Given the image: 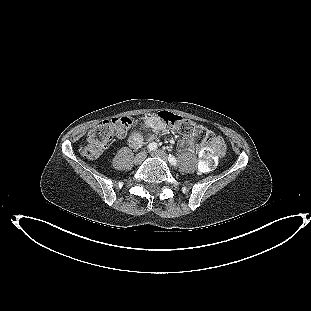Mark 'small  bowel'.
Masks as SVG:
<instances>
[{
	"instance_id": "1",
	"label": "small bowel",
	"mask_w": 311,
	"mask_h": 311,
	"mask_svg": "<svg viewBox=\"0 0 311 311\" xmlns=\"http://www.w3.org/2000/svg\"><path fill=\"white\" fill-rule=\"evenodd\" d=\"M143 122L147 124L148 127H150L151 129L150 137L155 136V134L163 131L166 128L165 124L162 122L159 116H156V115L146 116L143 119ZM143 141H144V136L141 133H135L134 135L130 137V143L134 147L140 146ZM179 148L182 150L193 149L194 145L190 138L184 137L179 143Z\"/></svg>"
}]
</instances>
